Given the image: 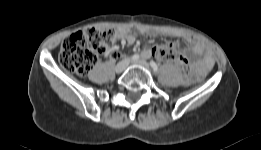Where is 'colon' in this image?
<instances>
[{
    "label": "colon",
    "mask_w": 261,
    "mask_h": 150,
    "mask_svg": "<svg viewBox=\"0 0 261 150\" xmlns=\"http://www.w3.org/2000/svg\"><path fill=\"white\" fill-rule=\"evenodd\" d=\"M118 36L119 32L114 28L91 27L75 32L62 43L59 62L64 69L84 76L95 66L98 58L107 53ZM152 55L174 62L184 75L189 72L188 61L174 40L155 46Z\"/></svg>",
    "instance_id": "colon-1"
}]
</instances>
